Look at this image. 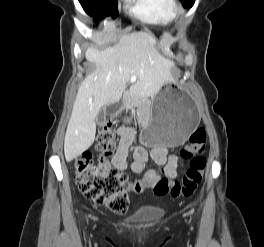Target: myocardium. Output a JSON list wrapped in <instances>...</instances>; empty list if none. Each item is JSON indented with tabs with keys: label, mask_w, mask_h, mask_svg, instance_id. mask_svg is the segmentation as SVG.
Returning <instances> with one entry per match:
<instances>
[{
	"label": "myocardium",
	"mask_w": 264,
	"mask_h": 247,
	"mask_svg": "<svg viewBox=\"0 0 264 247\" xmlns=\"http://www.w3.org/2000/svg\"><path fill=\"white\" fill-rule=\"evenodd\" d=\"M184 12L185 11L183 8L177 7L175 10L176 17H178L180 20H184Z\"/></svg>",
	"instance_id": "1"
}]
</instances>
